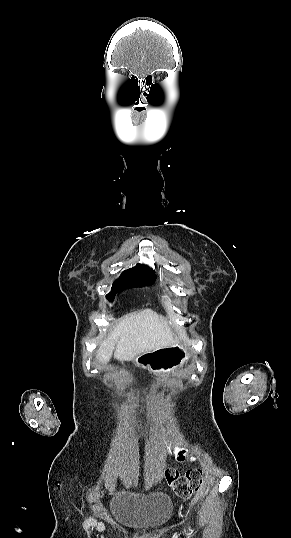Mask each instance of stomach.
Here are the masks:
<instances>
[{
    "instance_id": "obj_1",
    "label": "stomach",
    "mask_w": 291,
    "mask_h": 538,
    "mask_svg": "<svg viewBox=\"0 0 291 538\" xmlns=\"http://www.w3.org/2000/svg\"><path fill=\"white\" fill-rule=\"evenodd\" d=\"M188 352L181 344L162 347L134 357L137 366L148 367L158 376H166L182 367L188 360Z\"/></svg>"
}]
</instances>
